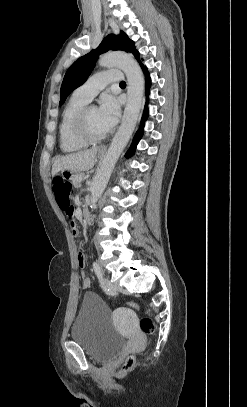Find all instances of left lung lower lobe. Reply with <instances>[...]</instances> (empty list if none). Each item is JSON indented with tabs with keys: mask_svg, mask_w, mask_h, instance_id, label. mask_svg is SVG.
Returning a JSON list of instances; mask_svg holds the SVG:
<instances>
[{
	"mask_svg": "<svg viewBox=\"0 0 247 407\" xmlns=\"http://www.w3.org/2000/svg\"><path fill=\"white\" fill-rule=\"evenodd\" d=\"M138 62L140 63V65H141V67H142V69L144 70V73H145V77H146V95L148 96L149 95V88H150V84H151V79H150V76H149V74L147 72V69L144 67V65L142 64L140 59H138ZM147 117H148V108L145 107L144 114H143V117H142V120H141L140 129L137 131L136 135L134 136L133 142H132L129 150L126 153L127 158L131 157L135 152L136 146H137L139 140L142 137L143 126H144V122H145Z\"/></svg>",
	"mask_w": 247,
	"mask_h": 407,
	"instance_id": "obj_1",
	"label": "left lung lower lobe"
}]
</instances>
